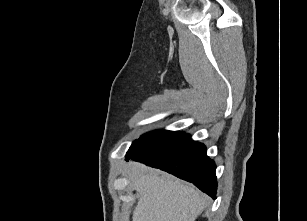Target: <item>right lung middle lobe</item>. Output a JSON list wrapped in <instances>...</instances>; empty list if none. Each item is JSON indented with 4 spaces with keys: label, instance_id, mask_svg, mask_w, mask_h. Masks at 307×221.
I'll return each instance as SVG.
<instances>
[{
    "label": "right lung middle lobe",
    "instance_id": "obj_1",
    "mask_svg": "<svg viewBox=\"0 0 307 221\" xmlns=\"http://www.w3.org/2000/svg\"><path fill=\"white\" fill-rule=\"evenodd\" d=\"M183 132L179 131H167L159 130L149 132L141 136L138 140L133 142L129 151H142L172 141L179 136L183 135ZM128 151V152H129Z\"/></svg>",
    "mask_w": 307,
    "mask_h": 221
}]
</instances>
